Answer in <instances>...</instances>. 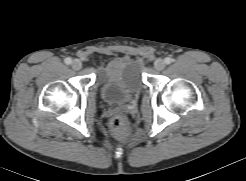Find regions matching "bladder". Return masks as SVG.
Returning <instances> with one entry per match:
<instances>
[{"label":"bladder","mask_w":246,"mask_h":181,"mask_svg":"<svg viewBox=\"0 0 246 181\" xmlns=\"http://www.w3.org/2000/svg\"><path fill=\"white\" fill-rule=\"evenodd\" d=\"M97 76L102 97L108 103L125 101L142 87L140 67L129 60L109 61L102 66Z\"/></svg>","instance_id":"1"}]
</instances>
